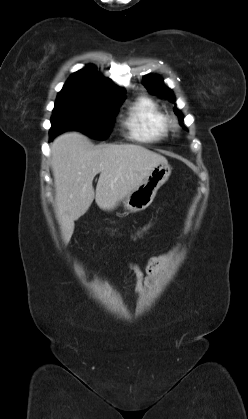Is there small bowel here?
Masks as SVG:
<instances>
[{"mask_svg":"<svg viewBox=\"0 0 248 419\" xmlns=\"http://www.w3.org/2000/svg\"><path fill=\"white\" fill-rule=\"evenodd\" d=\"M174 254L175 250L151 258L146 266L145 272H143L142 269L136 264H129V266L134 271L137 277L136 291L138 294L142 293L146 288L152 285L155 278L160 274L162 269L170 262Z\"/></svg>","mask_w":248,"mask_h":419,"instance_id":"obj_1","label":"small bowel"}]
</instances>
